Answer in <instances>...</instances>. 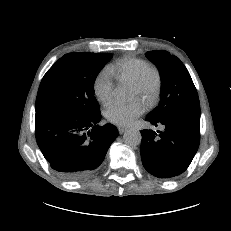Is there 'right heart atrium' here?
<instances>
[{
    "label": "right heart atrium",
    "instance_id": "obj_1",
    "mask_svg": "<svg viewBox=\"0 0 231 231\" xmlns=\"http://www.w3.org/2000/svg\"><path fill=\"white\" fill-rule=\"evenodd\" d=\"M93 90L96 97L104 104H108L113 98L114 84L112 75L108 70L101 71L95 78Z\"/></svg>",
    "mask_w": 231,
    "mask_h": 231
}]
</instances>
